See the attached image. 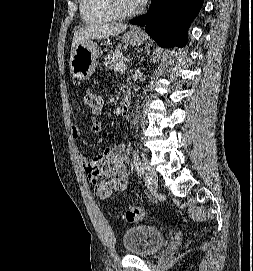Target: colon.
Here are the masks:
<instances>
[{
  "label": "colon",
  "instance_id": "colon-1",
  "mask_svg": "<svg viewBox=\"0 0 253 271\" xmlns=\"http://www.w3.org/2000/svg\"><path fill=\"white\" fill-rule=\"evenodd\" d=\"M84 100L93 114H97L102 109V98L94 91H86ZM143 218V210L138 206L129 207L123 214V220L129 223L138 222Z\"/></svg>",
  "mask_w": 253,
  "mask_h": 271
}]
</instances>
